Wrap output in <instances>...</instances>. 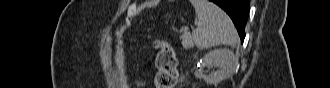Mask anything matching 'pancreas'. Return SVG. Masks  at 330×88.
I'll use <instances>...</instances> for the list:
<instances>
[{"label":"pancreas","instance_id":"cf45deb5","mask_svg":"<svg viewBox=\"0 0 330 88\" xmlns=\"http://www.w3.org/2000/svg\"><path fill=\"white\" fill-rule=\"evenodd\" d=\"M180 39L182 40V46L185 49H190L193 47V42L191 35L189 33H184L181 35Z\"/></svg>","mask_w":330,"mask_h":88}]
</instances>
